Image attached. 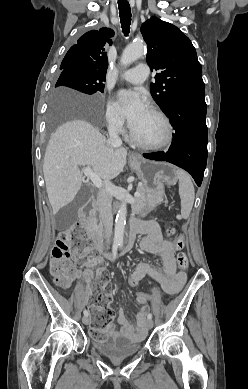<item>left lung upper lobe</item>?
I'll list each match as a JSON object with an SVG mask.
<instances>
[{
  "label": "left lung upper lobe",
  "mask_w": 248,
  "mask_h": 389,
  "mask_svg": "<svg viewBox=\"0 0 248 389\" xmlns=\"http://www.w3.org/2000/svg\"><path fill=\"white\" fill-rule=\"evenodd\" d=\"M141 33L148 65L160 70L150 91L164 113L181 96L205 89L195 48L180 29L153 16L142 24Z\"/></svg>",
  "instance_id": "obj_1"
}]
</instances>
